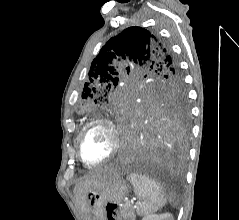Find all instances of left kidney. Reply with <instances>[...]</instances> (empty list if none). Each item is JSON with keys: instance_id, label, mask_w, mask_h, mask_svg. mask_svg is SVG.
<instances>
[{"instance_id": "obj_1", "label": "left kidney", "mask_w": 239, "mask_h": 220, "mask_svg": "<svg viewBox=\"0 0 239 220\" xmlns=\"http://www.w3.org/2000/svg\"><path fill=\"white\" fill-rule=\"evenodd\" d=\"M142 220H174V218L170 213H164L146 215Z\"/></svg>"}]
</instances>
